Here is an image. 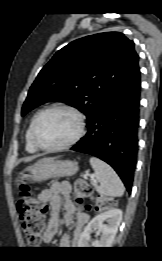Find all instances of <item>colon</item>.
Listing matches in <instances>:
<instances>
[{"label": "colon", "mask_w": 162, "mask_h": 261, "mask_svg": "<svg viewBox=\"0 0 162 261\" xmlns=\"http://www.w3.org/2000/svg\"><path fill=\"white\" fill-rule=\"evenodd\" d=\"M74 198L77 204H84L87 200H92L91 204L84 205L86 210H106L115 204L113 199L109 197H94L92 186L83 179H79L75 182ZM17 211L26 240L31 244L38 243L44 229L45 209L35 199L32 189L27 185H21L20 187Z\"/></svg>", "instance_id": "1"}]
</instances>
